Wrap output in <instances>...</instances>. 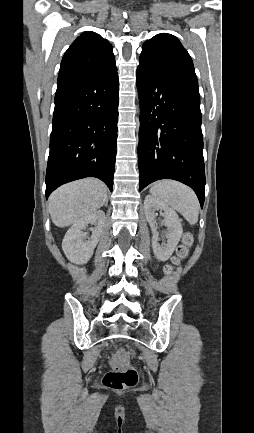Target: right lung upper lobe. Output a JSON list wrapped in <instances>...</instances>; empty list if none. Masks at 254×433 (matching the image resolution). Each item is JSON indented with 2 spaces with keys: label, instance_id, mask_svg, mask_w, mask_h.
<instances>
[{
  "label": "right lung upper lobe",
  "instance_id": "cb5924a9",
  "mask_svg": "<svg viewBox=\"0 0 254 433\" xmlns=\"http://www.w3.org/2000/svg\"><path fill=\"white\" fill-rule=\"evenodd\" d=\"M114 65L116 64L111 44L94 32H84L65 52L58 80L100 73Z\"/></svg>",
  "mask_w": 254,
  "mask_h": 433
}]
</instances>
